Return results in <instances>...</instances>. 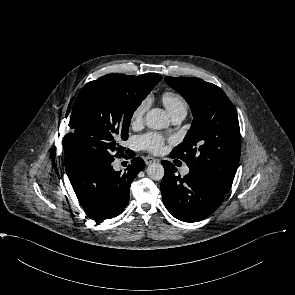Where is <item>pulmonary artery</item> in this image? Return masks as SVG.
Segmentation results:
<instances>
[{"label": "pulmonary artery", "instance_id": "pulmonary-artery-1", "mask_svg": "<svg viewBox=\"0 0 295 295\" xmlns=\"http://www.w3.org/2000/svg\"><path fill=\"white\" fill-rule=\"evenodd\" d=\"M185 118L184 115L174 116L172 117V121L174 124H179ZM189 168L187 166L182 168V174L186 175L189 173Z\"/></svg>", "mask_w": 295, "mask_h": 295}]
</instances>
